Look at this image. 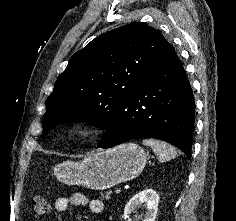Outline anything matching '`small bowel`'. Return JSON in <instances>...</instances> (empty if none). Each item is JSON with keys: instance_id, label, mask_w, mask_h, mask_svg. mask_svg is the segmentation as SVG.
I'll return each mask as SVG.
<instances>
[{"instance_id": "small-bowel-1", "label": "small bowel", "mask_w": 236, "mask_h": 221, "mask_svg": "<svg viewBox=\"0 0 236 221\" xmlns=\"http://www.w3.org/2000/svg\"><path fill=\"white\" fill-rule=\"evenodd\" d=\"M70 205L75 207L88 206L90 212L95 215H99L104 211V204L102 201L98 199L89 201L88 198L81 193H75L70 198H57L54 202V210L56 212H64L68 209Z\"/></svg>"}]
</instances>
